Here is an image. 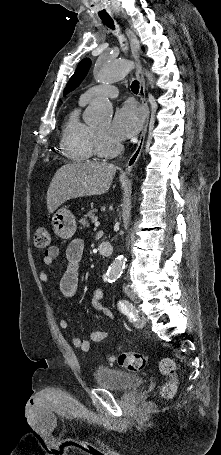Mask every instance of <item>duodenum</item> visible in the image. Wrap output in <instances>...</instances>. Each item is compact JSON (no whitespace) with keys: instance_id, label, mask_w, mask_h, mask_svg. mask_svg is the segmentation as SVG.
I'll return each mask as SVG.
<instances>
[{"instance_id":"duodenum-1","label":"duodenum","mask_w":221,"mask_h":455,"mask_svg":"<svg viewBox=\"0 0 221 455\" xmlns=\"http://www.w3.org/2000/svg\"><path fill=\"white\" fill-rule=\"evenodd\" d=\"M98 251L103 256H110L113 252L112 245L108 242H101L98 246Z\"/></svg>"}]
</instances>
